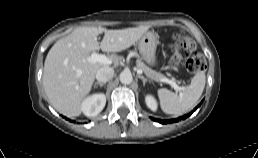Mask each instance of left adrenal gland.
Wrapping results in <instances>:
<instances>
[{"instance_id": "1", "label": "left adrenal gland", "mask_w": 258, "mask_h": 158, "mask_svg": "<svg viewBox=\"0 0 258 158\" xmlns=\"http://www.w3.org/2000/svg\"><path fill=\"white\" fill-rule=\"evenodd\" d=\"M138 78L143 81V85L145 86L146 82L148 81L145 77L138 75ZM150 82V81H149Z\"/></svg>"}]
</instances>
